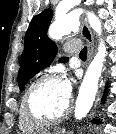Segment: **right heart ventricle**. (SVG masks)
<instances>
[{"mask_svg":"<svg viewBox=\"0 0 116 134\" xmlns=\"http://www.w3.org/2000/svg\"><path fill=\"white\" fill-rule=\"evenodd\" d=\"M35 81H32L25 89L24 93L22 94L19 106V113H18V126L19 129L23 133H34L41 128V124L33 122L26 114L24 109V98L28 91V89L32 86Z\"/></svg>","mask_w":116,"mask_h":134,"instance_id":"right-heart-ventricle-1","label":"right heart ventricle"}]
</instances>
